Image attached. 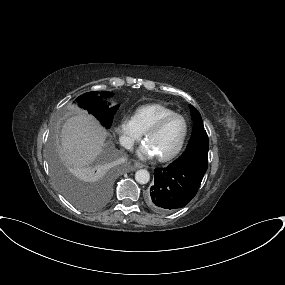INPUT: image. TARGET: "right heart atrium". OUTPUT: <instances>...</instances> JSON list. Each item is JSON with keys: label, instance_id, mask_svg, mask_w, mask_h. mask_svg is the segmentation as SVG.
<instances>
[{"label": "right heart atrium", "instance_id": "d8ad5b80", "mask_svg": "<svg viewBox=\"0 0 285 285\" xmlns=\"http://www.w3.org/2000/svg\"><path fill=\"white\" fill-rule=\"evenodd\" d=\"M117 133L121 144L130 149L134 143L142 136V132L137 127L134 117L124 116L117 126Z\"/></svg>", "mask_w": 285, "mask_h": 285}]
</instances>
